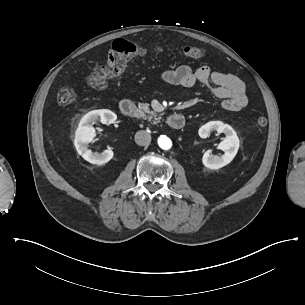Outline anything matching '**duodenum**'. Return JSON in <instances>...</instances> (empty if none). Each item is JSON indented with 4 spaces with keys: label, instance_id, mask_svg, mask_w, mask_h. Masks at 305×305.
Masks as SVG:
<instances>
[{
    "label": "duodenum",
    "instance_id": "duodenum-1",
    "mask_svg": "<svg viewBox=\"0 0 305 305\" xmlns=\"http://www.w3.org/2000/svg\"><path fill=\"white\" fill-rule=\"evenodd\" d=\"M120 110L121 113L126 117H133L139 112L137 105L131 100L121 101ZM167 124L171 129L179 130L184 126L185 119L181 114L174 113L167 118Z\"/></svg>",
    "mask_w": 305,
    "mask_h": 305
}]
</instances>
